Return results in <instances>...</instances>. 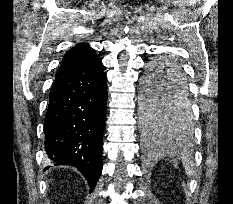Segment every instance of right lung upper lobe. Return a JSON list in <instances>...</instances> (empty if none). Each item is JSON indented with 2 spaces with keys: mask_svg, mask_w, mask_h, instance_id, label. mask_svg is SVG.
Here are the masks:
<instances>
[{
  "mask_svg": "<svg viewBox=\"0 0 233 204\" xmlns=\"http://www.w3.org/2000/svg\"><path fill=\"white\" fill-rule=\"evenodd\" d=\"M100 60L95 55V50L90 48L84 43L77 44L75 47L70 49L63 57L62 63L59 67L55 81H59L63 78L66 72L77 64L83 65H98Z\"/></svg>",
  "mask_w": 233,
  "mask_h": 204,
  "instance_id": "1",
  "label": "right lung upper lobe"
}]
</instances>
